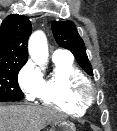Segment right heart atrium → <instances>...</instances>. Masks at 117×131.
Returning a JSON list of instances; mask_svg holds the SVG:
<instances>
[{
	"mask_svg": "<svg viewBox=\"0 0 117 131\" xmlns=\"http://www.w3.org/2000/svg\"><path fill=\"white\" fill-rule=\"evenodd\" d=\"M18 82L25 96L33 100L40 91L42 76L40 71L31 62H28L20 70Z\"/></svg>",
	"mask_w": 117,
	"mask_h": 131,
	"instance_id": "d8ad5b80",
	"label": "right heart atrium"
}]
</instances>
